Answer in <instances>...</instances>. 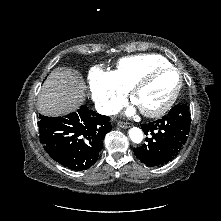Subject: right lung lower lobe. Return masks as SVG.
Returning a JSON list of instances; mask_svg holds the SVG:
<instances>
[{
	"label": "right lung lower lobe",
	"mask_w": 221,
	"mask_h": 221,
	"mask_svg": "<svg viewBox=\"0 0 221 221\" xmlns=\"http://www.w3.org/2000/svg\"><path fill=\"white\" fill-rule=\"evenodd\" d=\"M40 142L52 159L72 170L95 164L105 135L112 129L110 118L82 105L63 117H39Z\"/></svg>",
	"instance_id": "right-lung-lower-lobe-1"
}]
</instances>
